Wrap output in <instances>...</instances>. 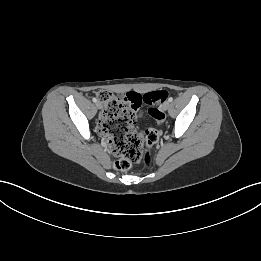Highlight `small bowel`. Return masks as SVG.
I'll return each mask as SVG.
<instances>
[{"mask_svg":"<svg viewBox=\"0 0 261 261\" xmlns=\"http://www.w3.org/2000/svg\"><path fill=\"white\" fill-rule=\"evenodd\" d=\"M138 108H136L134 111H133V117H134V119H135V117H136V110H137ZM102 115H103V113H102ZM140 135L141 136H146L147 135V130L146 129H141L140 130Z\"/></svg>","mask_w":261,"mask_h":261,"instance_id":"c3829d8e","label":"small bowel"}]
</instances>
